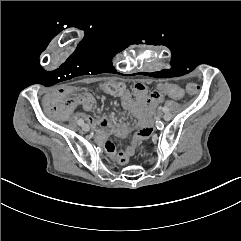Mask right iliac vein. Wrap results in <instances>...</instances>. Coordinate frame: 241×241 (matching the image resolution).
I'll list each match as a JSON object with an SVG mask.
<instances>
[{
  "instance_id": "1",
  "label": "right iliac vein",
  "mask_w": 241,
  "mask_h": 241,
  "mask_svg": "<svg viewBox=\"0 0 241 241\" xmlns=\"http://www.w3.org/2000/svg\"><path fill=\"white\" fill-rule=\"evenodd\" d=\"M89 129H90V127H89L88 124H83V125H82V130H83V131L87 132V131H89Z\"/></svg>"
}]
</instances>
